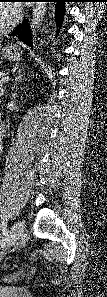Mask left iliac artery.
Wrapping results in <instances>:
<instances>
[{
	"instance_id": "left-iliac-artery-1",
	"label": "left iliac artery",
	"mask_w": 107,
	"mask_h": 297,
	"mask_svg": "<svg viewBox=\"0 0 107 297\" xmlns=\"http://www.w3.org/2000/svg\"><path fill=\"white\" fill-rule=\"evenodd\" d=\"M8 217H10V214L8 215ZM6 220H7V218H6ZM1 230L3 232L4 237L0 241V245H1V247H4L6 245V243L9 241V238H10V235H8V231H7L6 224H5L4 221L1 224Z\"/></svg>"
}]
</instances>
